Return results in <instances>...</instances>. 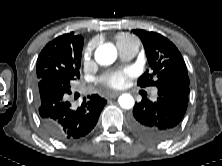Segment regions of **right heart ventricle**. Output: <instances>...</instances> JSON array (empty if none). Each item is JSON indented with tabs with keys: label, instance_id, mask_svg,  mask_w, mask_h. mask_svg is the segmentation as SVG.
Instances as JSON below:
<instances>
[{
	"label": "right heart ventricle",
	"instance_id": "1",
	"mask_svg": "<svg viewBox=\"0 0 222 166\" xmlns=\"http://www.w3.org/2000/svg\"><path fill=\"white\" fill-rule=\"evenodd\" d=\"M116 43L119 48L120 46L138 44V40L133 35L120 33L116 36Z\"/></svg>",
	"mask_w": 222,
	"mask_h": 166
}]
</instances>
